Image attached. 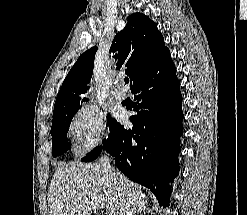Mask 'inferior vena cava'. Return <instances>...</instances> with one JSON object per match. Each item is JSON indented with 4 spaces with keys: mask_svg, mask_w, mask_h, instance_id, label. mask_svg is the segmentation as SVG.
<instances>
[{
    "mask_svg": "<svg viewBox=\"0 0 247 215\" xmlns=\"http://www.w3.org/2000/svg\"><path fill=\"white\" fill-rule=\"evenodd\" d=\"M110 160H111L110 156L107 153H105L99 159V163L104 168L106 173L109 175L111 180H113L114 182H117L118 181V175H117L115 169L110 165Z\"/></svg>",
    "mask_w": 247,
    "mask_h": 215,
    "instance_id": "1",
    "label": "inferior vena cava"
}]
</instances>
